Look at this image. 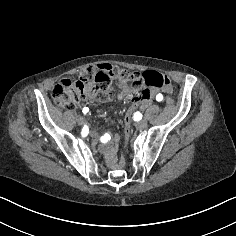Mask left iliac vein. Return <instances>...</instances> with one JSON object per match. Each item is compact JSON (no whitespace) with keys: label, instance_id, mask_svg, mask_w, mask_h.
<instances>
[{"label":"left iliac vein","instance_id":"obj_1","mask_svg":"<svg viewBox=\"0 0 236 236\" xmlns=\"http://www.w3.org/2000/svg\"><path fill=\"white\" fill-rule=\"evenodd\" d=\"M146 121H144V120H139V122H136L135 123V128H136V130H138V131H143V130H145V128H146Z\"/></svg>","mask_w":236,"mask_h":236}]
</instances>
